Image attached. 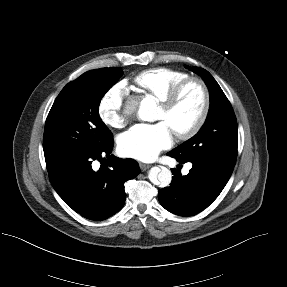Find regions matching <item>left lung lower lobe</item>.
Wrapping results in <instances>:
<instances>
[{
  "mask_svg": "<svg viewBox=\"0 0 287 287\" xmlns=\"http://www.w3.org/2000/svg\"><path fill=\"white\" fill-rule=\"evenodd\" d=\"M168 155L180 164H193L186 176H182L180 166L171 169L174 176L170 186L159 190L160 204L180 216H193L207 208L219 196L234 168L204 155L182 158L171 151Z\"/></svg>",
  "mask_w": 287,
  "mask_h": 287,
  "instance_id": "left-lung-lower-lobe-1",
  "label": "left lung lower lobe"
}]
</instances>
